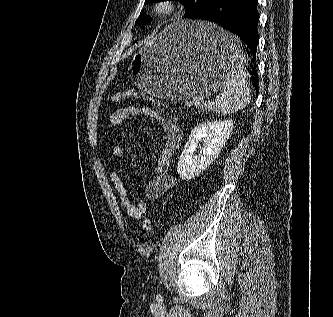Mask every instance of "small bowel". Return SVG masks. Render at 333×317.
Listing matches in <instances>:
<instances>
[{
	"mask_svg": "<svg viewBox=\"0 0 333 317\" xmlns=\"http://www.w3.org/2000/svg\"><path fill=\"white\" fill-rule=\"evenodd\" d=\"M138 115H143L156 123L164 132V144L153 168V179L145 188V195L148 199H157L174 187V179L169 174V166L181 142L182 133L176 124L157 111L137 105H128L116 109L111 113L109 122L112 126H121L131 117ZM111 154L118 161H121L125 156L124 149L120 145H114ZM109 177L128 216L133 219L142 218L148 211V204L145 201H132L123 179L115 169H110Z\"/></svg>",
	"mask_w": 333,
	"mask_h": 317,
	"instance_id": "c3829d8e",
	"label": "small bowel"
}]
</instances>
